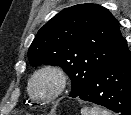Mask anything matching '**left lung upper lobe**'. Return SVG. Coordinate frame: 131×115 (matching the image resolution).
<instances>
[{"instance_id": "5c2ea615", "label": "left lung upper lobe", "mask_w": 131, "mask_h": 115, "mask_svg": "<svg viewBox=\"0 0 131 115\" xmlns=\"http://www.w3.org/2000/svg\"><path fill=\"white\" fill-rule=\"evenodd\" d=\"M117 20L97 4H79L60 11L35 36L28 58L32 66L56 65L72 80L77 97L105 67L127 50Z\"/></svg>"}]
</instances>
